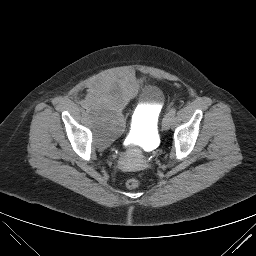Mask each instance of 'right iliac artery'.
Here are the masks:
<instances>
[{
    "mask_svg": "<svg viewBox=\"0 0 256 256\" xmlns=\"http://www.w3.org/2000/svg\"><path fill=\"white\" fill-rule=\"evenodd\" d=\"M81 106H82V107H85V106H86V102H85V101L82 102V103H81Z\"/></svg>",
    "mask_w": 256,
    "mask_h": 256,
    "instance_id": "82829eb1",
    "label": "right iliac artery"
}]
</instances>
